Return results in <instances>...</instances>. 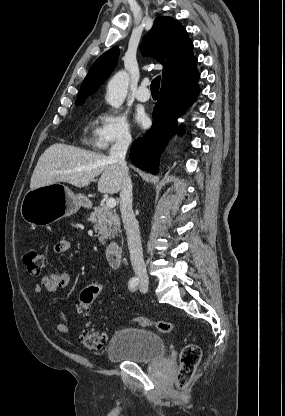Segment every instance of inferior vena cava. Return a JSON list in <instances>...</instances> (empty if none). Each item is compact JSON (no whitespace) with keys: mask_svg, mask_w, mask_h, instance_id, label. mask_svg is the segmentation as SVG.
I'll return each instance as SVG.
<instances>
[{"mask_svg":"<svg viewBox=\"0 0 285 416\" xmlns=\"http://www.w3.org/2000/svg\"><path fill=\"white\" fill-rule=\"evenodd\" d=\"M131 140L132 138L128 130H124V132L118 134L116 142L114 146H111L110 154L108 156V160L111 164H118V166H121L123 170H128L125 162V156L128 146L131 144ZM120 212L127 234V242L133 270L136 274H138V276H147L146 266L144 264L142 254L140 230L132 210V184L128 176V172L120 190Z\"/></svg>","mask_w":285,"mask_h":416,"instance_id":"1","label":"inferior vena cava"}]
</instances>
